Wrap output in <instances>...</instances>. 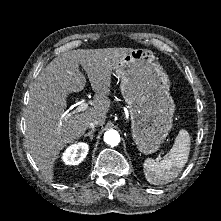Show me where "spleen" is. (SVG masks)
<instances>
[{
	"mask_svg": "<svg viewBox=\"0 0 221 221\" xmlns=\"http://www.w3.org/2000/svg\"><path fill=\"white\" fill-rule=\"evenodd\" d=\"M190 142L189 133L181 129L170 152L161 161L147 158L143 165L147 181L154 185L172 182L180 174L188 161Z\"/></svg>",
	"mask_w": 221,
	"mask_h": 221,
	"instance_id": "obj_1",
	"label": "spleen"
}]
</instances>
